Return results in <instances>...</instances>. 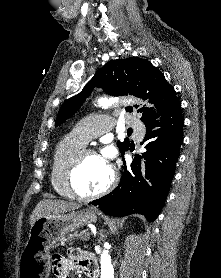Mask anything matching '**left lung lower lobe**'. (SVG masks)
<instances>
[{
  "mask_svg": "<svg viewBox=\"0 0 221 278\" xmlns=\"http://www.w3.org/2000/svg\"><path fill=\"white\" fill-rule=\"evenodd\" d=\"M183 124L177 99L161 116L160 122L145 123L146 152L142 156L135 155L131 169H126L125 165L119 185L90 204L98 205L111 216L138 213L153 222L164 205L175 174L183 142ZM155 127L160 128L155 130Z\"/></svg>",
  "mask_w": 221,
  "mask_h": 278,
  "instance_id": "1",
  "label": "left lung lower lobe"
}]
</instances>
